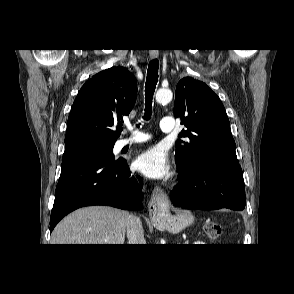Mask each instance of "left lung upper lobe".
Returning a JSON list of instances; mask_svg holds the SVG:
<instances>
[{
	"mask_svg": "<svg viewBox=\"0 0 294 294\" xmlns=\"http://www.w3.org/2000/svg\"><path fill=\"white\" fill-rule=\"evenodd\" d=\"M175 117L187 127L176 142V162L190 170L211 162L238 164L229 119L219 97L202 81L185 77L175 91Z\"/></svg>",
	"mask_w": 294,
	"mask_h": 294,
	"instance_id": "5c2ea615",
	"label": "left lung upper lobe"
}]
</instances>
